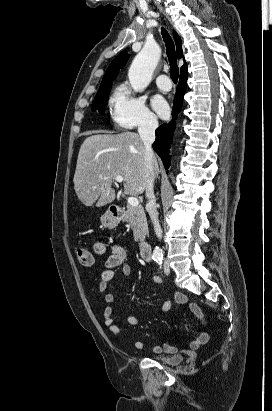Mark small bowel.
<instances>
[{
    "label": "small bowel",
    "instance_id": "1",
    "mask_svg": "<svg viewBox=\"0 0 272 411\" xmlns=\"http://www.w3.org/2000/svg\"><path fill=\"white\" fill-rule=\"evenodd\" d=\"M94 251L99 254L103 255L106 253H110L106 262H105V270L101 275V281L99 285V291L104 294V300L106 302V307L103 310V321L105 326L108 328L109 332L114 335H120L121 330L115 324L113 319V309L116 304V299L112 293L107 292L108 286L115 280L117 272L124 277H128L131 274L132 266L127 257V251L125 248L118 244H112L105 241H97L94 245ZM153 282L155 283H162V280L155 276L153 277ZM173 299L182 305L188 304L187 298L179 292L173 293ZM172 306V300L167 299L163 302L161 306V310L163 312H167L170 310ZM188 308L195 314V316L200 320L203 327L206 326L205 317L200 310V308L195 304H188ZM126 321L128 324L132 326H137L142 324L144 321L140 320L136 316L129 314L126 316ZM209 340V335L205 330H202L199 336L190 342L189 348L191 351H195L199 349V347ZM137 349H143L145 347V343L142 340H138L135 343ZM153 351L155 353H170L174 354L177 352V349L168 344L164 343L162 345H154Z\"/></svg>",
    "mask_w": 272,
    "mask_h": 411
}]
</instances>
